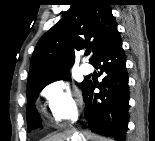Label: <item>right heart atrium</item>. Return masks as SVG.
<instances>
[{"label":"right heart atrium","instance_id":"right-heart-atrium-1","mask_svg":"<svg viewBox=\"0 0 155 141\" xmlns=\"http://www.w3.org/2000/svg\"><path fill=\"white\" fill-rule=\"evenodd\" d=\"M42 96L48 116L54 123L62 124L76 119L77 99L64 81L57 80L45 86Z\"/></svg>","mask_w":155,"mask_h":141}]
</instances>
